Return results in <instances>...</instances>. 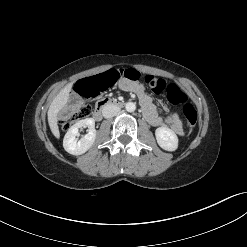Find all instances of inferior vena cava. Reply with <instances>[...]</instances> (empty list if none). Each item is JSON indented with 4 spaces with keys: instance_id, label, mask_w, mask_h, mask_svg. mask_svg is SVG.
Listing matches in <instances>:
<instances>
[{
    "instance_id": "obj_1",
    "label": "inferior vena cava",
    "mask_w": 247,
    "mask_h": 247,
    "mask_svg": "<svg viewBox=\"0 0 247 247\" xmlns=\"http://www.w3.org/2000/svg\"><path fill=\"white\" fill-rule=\"evenodd\" d=\"M120 112V108L115 104H106L102 109V114L105 118L116 116Z\"/></svg>"
}]
</instances>
